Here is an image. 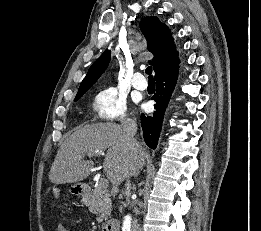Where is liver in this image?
Masks as SVG:
<instances>
[{
    "label": "liver",
    "mask_w": 261,
    "mask_h": 231,
    "mask_svg": "<svg viewBox=\"0 0 261 231\" xmlns=\"http://www.w3.org/2000/svg\"><path fill=\"white\" fill-rule=\"evenodd\" d=\"M107 150L103 168L113 185H119L127 174L137 175L145 163V151L133 158L123 138V130L112 123L87 125L74 132L61 145L49 172L54 184L76 183L90 174L94 162L85 154Z\"/></svg>",
    "instance_id": "6515ba94"
}]
</instances>
